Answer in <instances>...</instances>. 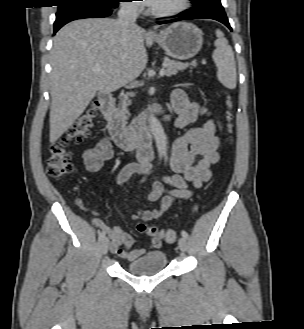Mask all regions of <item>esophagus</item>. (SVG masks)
<instances>
[{"mask_svg": "<svg viewBox=\"0 0 304 329\" xmlns=\"http://www.w3.org/2000/svg\"><path fill=\"white\" fill-rule=\"evenodd\" d=\"M148 34H153V31L152 30H148Z\"/></svg>", "mask_w": 304, "mask_h": 329, "instance_id": "esophagus-1", "label": "esophagus"}]
</instances>
